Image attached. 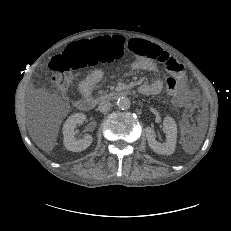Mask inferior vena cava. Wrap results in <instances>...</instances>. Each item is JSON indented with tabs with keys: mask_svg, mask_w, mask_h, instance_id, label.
Returning <instances> with one entry per match:
<instances>
[{
	"mask_svg": "<svg viewBox=\"0 0 231 231\" xmlns=\"http://www.w3.org/2000/svg\"><path fill=\"white\" fill-rule=\"evenodd\" d=\"M111 103L107 100H103L99 103L98 110L100 112H106L110 109Z\"/></svg>",
	"mask_w": 231,
	"mask_h": 231,
	"instance_id": "obj_1",
	"label": "inferior vena cava"
}]
</instances>
